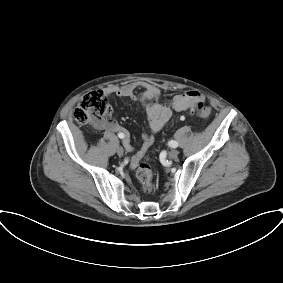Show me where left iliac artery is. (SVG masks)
Returning a JSON list of instances; mask_svg holds the SVG:
<instances>
[{
  "label": "left iliac artery",
  "mask_w": 283,
  "mask_h": 283,
  "mask_svg": "<svg viewBox=\"0 0 283 283\" xmlns=\"http://www.w3.org/2000/svg\"><path fill=\"white\" fill-rule=\"evenodd\" d=\"M169 146H170V147H173V148H176V147L178 146V142H177V141H174V140H171V141L169 142Z\"/></svg>",
  "instance_id": "obj_1"
}]
</instances>
